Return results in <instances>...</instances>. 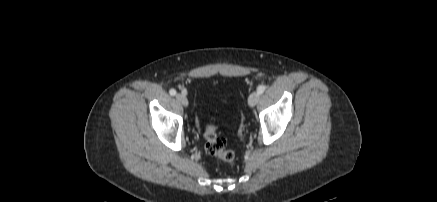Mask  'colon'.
I'll use <instances>...</instances> for the list:
<instances>
[{
    "instance_id": "colon-1",
    "label": "colon",
    "mask_w": 437,
    "mask_h": 202,
    "mask_svg": "<svg viewBox=\"0 0 437 202\" xmlns=\"http://www.w3.org/2000/svg\"><path fill=\"white\" fill-rule=\"evenodd\" d=\"M205 151L212 156H216L226 164L233 166L236 157L233 151L226 149V141L217 133V128L210 123L204 131Z\"/></svg>"
}]
</instances>
